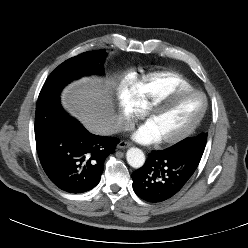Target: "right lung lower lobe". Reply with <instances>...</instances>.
Listing matches in <instances>:
<instances>
[{
	"mask_svg": "<svg viewBox=\"0 0 248 248\" xmlns=\"http://www.w3.org/2000/svg\"><path fill=\"white\" fill-rule=\"evenodd\" d=\"M59 96L38 98L35 139L41 165L61 190L83 193L100 181L104 161L118 138L88 132L61 107Z\"/></svg>",
	"mask_w": 248,
	"mask_h": 248,
	"instance_id": "1",
	"label": "right lung lower lobe"
}]
</instances>
